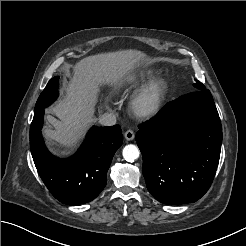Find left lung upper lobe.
I'll use <instances>...</instances> for the list:
<instances>
[{"instance_id": "obj_1", "label": "left lung upper lobe", "mask_w": 246, "mask_h": 246, "mask_svg": "<svg viewBox=\"0 0 246 246\" xmlns=\"http://www.w3.org/2000/svg\"><path fill=\"white\" fill-rule=\"evenodd\" d=\"M194 87L196 88V90H203L205 89V86L199 82V81H196V83L194 84Z\"/></svg>"}]
</instances>
